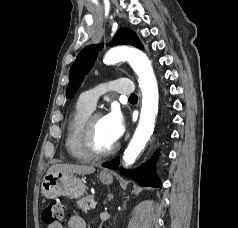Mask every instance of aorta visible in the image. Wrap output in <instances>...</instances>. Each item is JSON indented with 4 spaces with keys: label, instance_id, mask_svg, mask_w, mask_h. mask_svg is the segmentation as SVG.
I'll list each match as a JSON object with an SVG mask.
<instances>
[{
    "label": "aorta",
    "instance_id": "obj_1",
    "mask_svg": "<svg viewBox=\"0 0 238 228\" xmlns=\"http://www.w3.org/2000/svg\"><path fill=\"white\" fill-rule=\"evenodd\" d=\"M121 61H127L137 74L142 92L139 124L123 155L124 162L131 165L153 134L155 118L158 113L159 94L151 62L142 51L128 46L115 47L110 49L103 59V62L107 65Z\"/></svg>",
    "mask_w": 238,
    "mask_h": 228
}]
</instances>
